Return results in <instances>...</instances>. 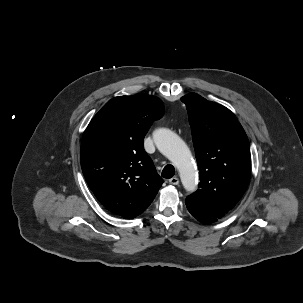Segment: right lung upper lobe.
<instances>
[{
  "mask_svg": "<svg viewBox=\"0 0 303 303\" xmlns=\"http://www.w3.org/2000/svg\"><path fill=\"white\" fill-rule=\"evenodd\" d=\"M164 114L162 101L149 95L109 100L90 121L80 161L89 188L113 214L140 215L154 200L163 180L143 148L153 121Z\"/></svg>",
  "mask_w": 303,
  "mask_h": 303,
  "instance_id": "1",
  "label": "right lung upper lobe"
}]
</instances>
